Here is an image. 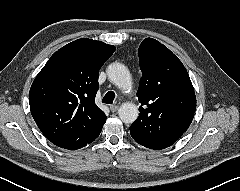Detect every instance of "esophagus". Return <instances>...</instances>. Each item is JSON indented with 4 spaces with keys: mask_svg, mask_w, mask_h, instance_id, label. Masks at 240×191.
<instances>
[{
    "mask_svg": "<svg viewBox=\"0 0 240 191\" xmlns=\"http://www.w3.org/2000/svg\"><path fill=\"white\" fill-rule=\"evenodd\" d=\"M118 109H119V106H118V105H111V106H110L111 112H116Z\"/></svg>",
    "mask_w": 240,
    "mask_h": 191,
    "instance_id": "34e87169",
    "label": "esophagus"
}]
</instances>
